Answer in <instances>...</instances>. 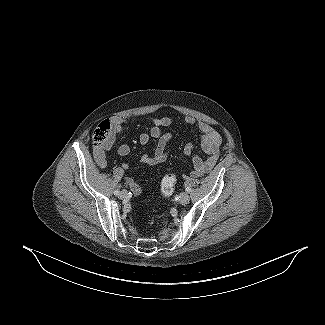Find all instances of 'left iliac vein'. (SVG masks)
I'll use <instances>...</instances> for the list:
<instances>
[{
    "label": "left iliac vein",
    "mask_w": 325,
    "mask_h": 325,
    "mask_svg": "<svg viewBox=\"0 0 325 325\" xmlns=\"http://www.w3.org/2000/svg\"><path fill=\"white\" fill-rule=\"evenodd\" d=\"M189 195L185 192L181 193L180 196H179V203L182 204V205H185L187 203H189Z\"/></svg>",
    "instance_id": "obj_1"
}]
</instances>
